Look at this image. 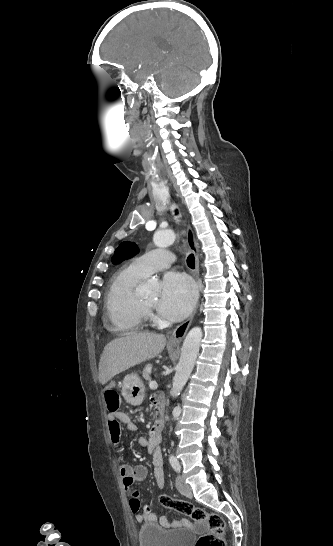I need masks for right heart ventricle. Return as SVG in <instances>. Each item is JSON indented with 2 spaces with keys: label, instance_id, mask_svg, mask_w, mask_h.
Returning <instances> with one entry per match:
<instances>
[{
  "label": "right heart ventricle",
  "instance_id": "right-heart-ventricle-1",
  "mask_svg": "<svg viewBox=\"0 0 333 546\" xmlns=\"http://www.w3.org/2000/svg\"><path fill=\"white\" fill-rule=\"evenodd\" d=\"M145 278L131 265L114 275L108 288L106 322L119 332H137L144 328L146 312L140 305L136 293L138 284Z\"/></svg>",
  "mask_w": 333,
  "mask_h": 546
}]
</instances>
